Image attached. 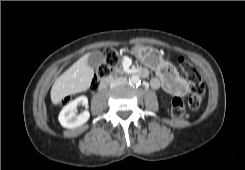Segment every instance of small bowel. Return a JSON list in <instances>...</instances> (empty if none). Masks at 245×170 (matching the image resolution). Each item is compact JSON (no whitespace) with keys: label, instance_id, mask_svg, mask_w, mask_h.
Segmentation results:
<instances>
[{"label":"small bowel","instance_id":"small-bowel-1","mask_svg":"<svg viewBox=\"0 0 245 170\" xmlns=\"http://www.w3.org/2000/svg\"><path fill=\"white\" fill-rule=\"evenodd\" d=\"M182 82L176 68L168 63H163L157 67L156 76L151 79L150 85L154 89L163 87L166 91L173 94L178 84H182Z\"/></svg>","mask_w":245,"mask_h":170}]
</instances>
